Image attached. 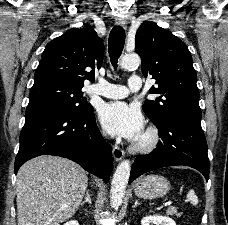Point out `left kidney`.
Returning a JSON list of instances; mask_svg holds the SVG:
<instances>
[{
    "instance_id": "obj_1",
    "label": "left kidney",
    "mask_w": 228,
    "mask_h": 225,
    "mask_svg": "<svg viewBox=\"0 0 228 225\" xmlns=\"http://www.w3.org/2000/svg\"><path fill=\"white\" fill-rule=\"evenodd\" d=\"M151 223H154V225H176L173 219H170V217H161V215H153V217H143L141 221V225H151Z\"/></svg>"
}]
</instances>
